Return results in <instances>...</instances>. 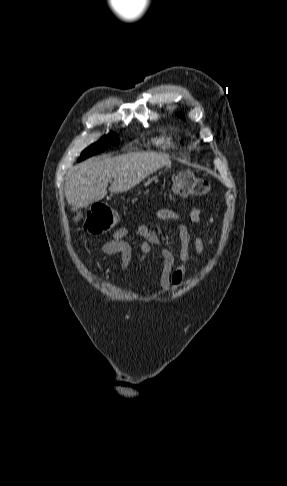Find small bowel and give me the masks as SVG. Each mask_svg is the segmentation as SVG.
<instances>
[{"instance_id": "obj_1", "label": "small bowel", "mask_w": 287, "mask_h": 486, "mask_svg": "<svg viewBox=\"0 0 287 486\" xmlns=\"http://www.w3.org/2000/svg\"><path fill=\"white\" fill-rule=\"evenodd\" d=\"M155 215L159 220L171 222L178 230L180 242L178 265H176L175 254L164 244L158 233L147 225H140L133 232L126 228L117 229L113 233L111 239L102 245L101 251L108 256L120 255L121 268L126 270L132 259V246L127 240L129 236L134 235L138 238V246L143 253H149L152 250V247L156 246L163 259L160 284L161 287L166 290L172 286H179L183 282L187 263L190 260V246L193 245L195 254L201 256L204 252L206 243L211 244L212 240L209 239L205 242L197 233L189 230L182 216L175 211L160 209L156 211ZM190 220L195 224L200 223V209L196 208L190 212ZM196 272L197 270L195 269L194 274H196Z\"/></svg>"}]
</instances>
